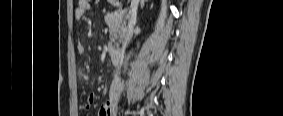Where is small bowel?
<instances>
[{
  "label": "small bowel",
  "mask_w": 283,
  "mask_h": 116,
  "mask_svg": "<svg viewBox=\"0 0 283 116\" xmlns=\"http://www.w3.org/2000/svg\"><path fill=\"white\" fill-rule=\"evenodd\" d=\"M89 9V1L88 0H79L78 6L75 9L74 17L78 20L83 19L87 11ZM76 50L79 54L85 53V48L82 44H78ZM96 94L89 93L86 98V103L81 107L82 110L89 109L96 101ZM99 116H115V104L111 98H108L99 109Z\"/></svg>",
  "instance_id": "small-bowel-1"
}]
</instances>
